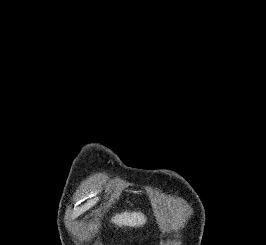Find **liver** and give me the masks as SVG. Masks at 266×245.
Here are the masks:
<instances>
[{
	"mask_svg": "<svg viewBox=\"0 0 266 245\" xmlns=\"http://www.w3.org/2000/svg\"><path fill=\"white\" fill-rule=\"evenodd\" d=\"M111 221L117 227H143L147 219L143 213H119Z\"/></svg>",
	"mask_w": 266,
	"mask_h": 245,
	"instance_id": "liver-1",
	"label": "liver"
}]
</instances>
